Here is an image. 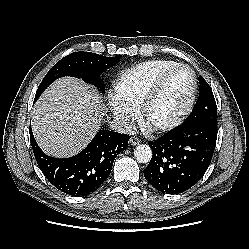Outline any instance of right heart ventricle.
Instances as JSON below:
<instances>
[{
    "label": "right heart ventricle",
    "instance_id": "obj_1",
    "mask_svg": "<svg viewBox=\"0 0 249 249\" xmlns=\"http://www.w3.org/2000/svg\"><path fill=\"white\" fill-rule=\"evenodd\" d=\"M177 64L169 59H153L124 70L115 80V97L137 111L159 75Z\"/></svg>",
    "mask_w": 249,
    "mask_h": 249
}]
</instances>
